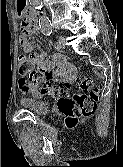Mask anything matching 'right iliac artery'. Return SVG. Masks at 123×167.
I'll return each mask as SVG.
<instances>
[{"label":"right iliac artery","instance_id":"82829eb1","mask_svg":"<svg viewBox=\"0 0 123 167\" xmlns=\"http://www.w3.org/2000/svg\"><path fill=\"white\" fill-rule=\"evenodd\" d=\"M47 31H48V30H44V34H46V33H47Z\"/></svg>","mask_w":123,"mask_h":167}]
</instances>
